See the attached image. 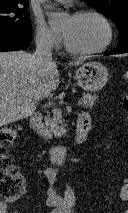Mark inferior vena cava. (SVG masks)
I'll return each instance as SVG.
<instances>
[{
    "label": "inferior vena cava",
    "mask_w": 128,
    "mask_h": 213,
    "mask_svg": "<svg viewBox=\"0 0 128 213\" xmlns=\"http://www.w3.org/2000/svg\"><path fill=\"white\" fill-rule=\"evenodd\" d=\"M36 52L34 54L36 61L42 67H46L52 63V41L46 35L36 38Z\"/></svg>",
    "instance_id": "1"
}]
</instances>
